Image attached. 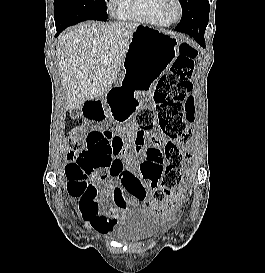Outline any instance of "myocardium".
Wrapping results in <instances>:
<instances>
[{
	"mask_svg": "<svg viewBox=\"0 0 265 273\" xmlns=\"http://www.w3.org/2000/svg\"><path fill=\"white\" fill-rule=\"evenodd\" d=\"M171 3H175L178 8V13L175 17H171L168 13V7ZM160 11L167 21L173 23L179 21L182 18L184 13V6L181 0H162Z\"/></svg>",
	"mask_w": 265,
	"mask_h": 273,
	"instance_id": "obj_1",
	"label": "myocardium"
}]
</instances>
